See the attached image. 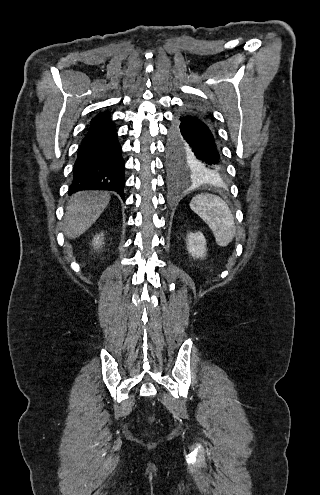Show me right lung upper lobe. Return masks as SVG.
I'll return each instance as SVG.
<instances>
[{"mask_svg":"<svg viewBox=\"0 0 320 495\" xmlns=\"http://www.w3.org/2000/svg\"><path fill=\"white\" fill-rule=\"evenodd\" d=\"M111 112L109 111H106V112H100L98 113L92 120H91V124L93 123H96V122H99V121H102V120H105L107 118H110L111 116Z\"/></svg>","mask_w":320,"mask_h":495,"instance_id":"right-lung-upper-lobe-1","label":"right lung upper lobe"}]
</instances>
